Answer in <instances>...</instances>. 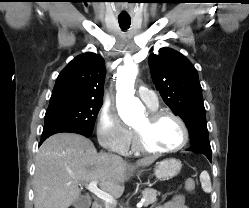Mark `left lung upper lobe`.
<instances>
[{
	"label": "left lung upper lobe",
	"mask_w": 249,
	"mask_h": 208,
	"mask_svg": "<svg viewBox=\"0 0 249 208\" xmlns=\"http://www.w3.org/2000/svg\"><path fill=\"white\" fill-rule=\"evenodd\" d=\"M154 85L164 102L185 122L190 144L210 148L202 88L194 66L181 53L161 48L149 56Z\"/></svg>",
	"instance_id": "5c2ea615"
}]
</instances>
